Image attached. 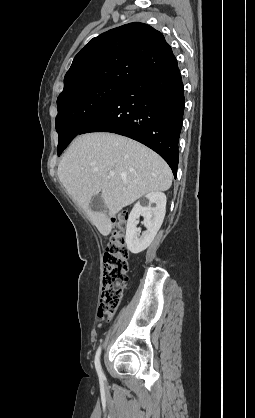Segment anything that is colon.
Wrapping results in <instances>:
<instances>
[{
    "label": "colon",
    "mask_w": 255,
    "mask_h": 418,
    "mask_svg": "<svg viewBox=\"0 0 255 418\" xmlns=\"http://www.w3.org/2000/svg\"><path fill=\"white\" fill-rule=\"evenodd\" d=\"M127 213L122 212L116 221V230L112 234L103 257V275L101 297L98 306V318L104 320L114 315L118 309L123 289L128 281L129 251L126 247L123 232Z\"/></svg>",
    "instance_id": "1"
}]
</instances>
